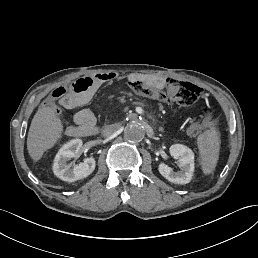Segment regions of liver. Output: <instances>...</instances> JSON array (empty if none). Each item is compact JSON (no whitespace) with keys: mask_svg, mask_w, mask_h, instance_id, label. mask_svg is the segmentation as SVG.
I'll return each mask as SVG.
<instances>
[{"mask_svg":"<svg viewBox=\"0 0 258 258\" xmlns=\"http://www.w3.org/2000/svg\"><path fill=\"white\" fill-rule=\"evenodd\" d=\"M63 125L56 116V107L40 108L34 115L27 138L28 153L38 161L61 137Z\"/></svg>","mask_w":258,"mask_h":258,"instance_id":"1","label":"liver"}]
</instances>
